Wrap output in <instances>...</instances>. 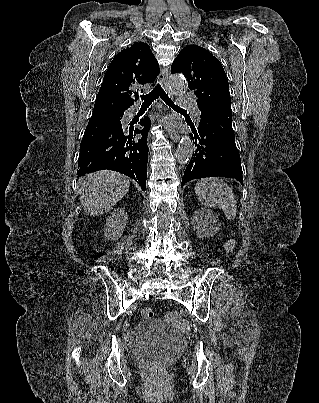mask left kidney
Listing matches in <instances>:
<instances>
[{"label":"left kidney","instance_id":"5707ae66","mask_svg":"<svg viewBox=\"0 0 319 403\" xmlns=\"http://www.w3.org/2000/svg\"><path fill=\"white\" fill-rule=\"evenodd\" d=\"M196 215L200 218L201 222L203 223V226H208L209 223L213 220L214 223H216L219 226V220L216 214L208 209H198L196 211ZM217 231V228L214 230V232Z\"/></svg>","mask_w":319,"mask_h":403}]
</instances>
